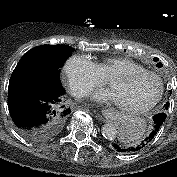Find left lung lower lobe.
Instances as JSON below:
<instances>
[{
    "mask_svg": "<svg viewBox=\"0 0 177 177\" xmlns=\"http://www.w3.org/2000/svg\"><path fill=\"white\" fill-rule=\"evenodd\" d=\"M166 119V114L164 112L156 114L153 116L154 120V125H153V130L150 133V135L143 140L139 145H122L119 143H113L112 147L117 151L121 153H131V152H136L139 151L140 149L144 148L147 144H149L153 138L156 136V134L159 132L164 120Z\"/></svg>",
    "mask_w": 177,
    "mask_h": 177,
    "instance_id": "0a47b994",
    "label": "left lung lower lobe"
}]
</instances>
